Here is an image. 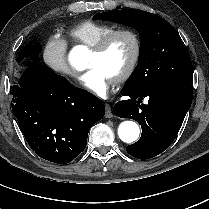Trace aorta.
Masks as SVG:
<instances>
[{"label":"aorta","instance_id":"1","mask_svg":"<svg viewBox=\"0 0 209 209\" xmlns=\"http://www.w3.org/2000/svg\"><path fill=\"white\" fill-rule=\"evenodd\" d=\"M86 56L85 46H75L69 53V63L77 70H84L87 68ZM139 134V126L133 121H124L118 127V136L123 142L133 143L138 139Z\"/></svg>","mask_w":209,"mask_h":209}]
</instances>
